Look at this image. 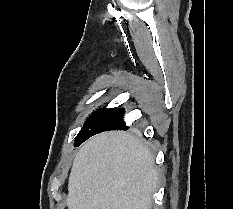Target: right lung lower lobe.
Wrapping results in <instances>:
<instances>
[{"instance_id": "98d812e1", "label": "right lung lower lobe", "mask_w": 233, "mask_h": 209, "mask_svg": "<svg viewBox=\"0 0 233 209\" xmlns=\"http://www.w3.org/2000/svg\"><path fill=\"white\" fill-rule=\"evenodd\" d=\"M128 127L127 126H115V127H111V128H104L98 132H95L94 134H91L90 136H86L85 138H83L78 144L80 145L81 143H83L85 140H87L89 137L98 134L100 132L106 131V130H127Z\"/></svg>"}]
</instances>
